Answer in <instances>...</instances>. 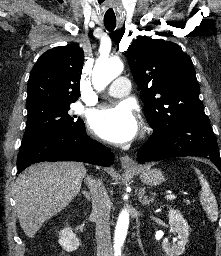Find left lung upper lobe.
Here are the masks:
<instances>
[{
    "instance_id": "left-lung-upper-lobe-1",
    "label": "left lung upper lobe",
    "mask_w": 221,
    "mask_h": 256,
    "mask_svg": "<svg viewBox=\"0 0 221 256\" xmlns=\"http://www.w3.org/2000/svg\"><path fill=\"white\" fill-rule=\"evenodd\" d=\"M128 62L154 131L208 120L192 60L179 45L140 36L129 46Z\"/></svg>"
}]
</instances>
